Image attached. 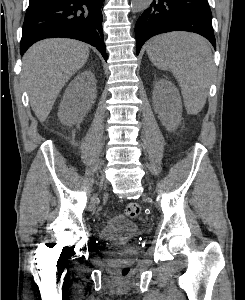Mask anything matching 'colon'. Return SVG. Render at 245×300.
<instances>
[{
  "instance_id": "5ec220e1",
  "label": "colon",
  "mask_w": 245,
  "mask_h": 300,
  "mask_svg": "<svg viewBox=\"0 0 245 300\" xmlns=\"http://www.w3.org/2000/svg\"><path fill=\"white\" fill-rule=\"evenodd\" d=\"M140 213H141V206L137 202H130L125 207V215L129 218H136L140 215ZM119 272L123 277L127 276L130 272V266L125 265L121 267Z\"/></svg>"
}]
</instances>
